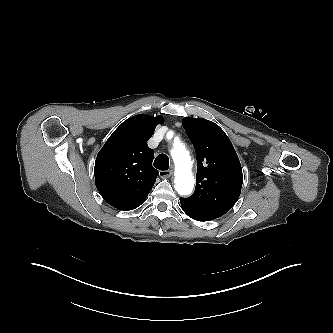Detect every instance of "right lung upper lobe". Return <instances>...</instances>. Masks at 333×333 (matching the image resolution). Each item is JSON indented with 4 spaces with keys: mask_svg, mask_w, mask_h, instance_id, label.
I'll return each mask as SVG.
<instances>
[{
    "mask_svg": "<svg viewBox=\"0 0 333 333\" xmlns=\"http://www.w3.org/2000/svg\"><path fill=\"white\" fill-rule=\"evenodd\" d=\"M162 116L140 114L124 121L109 137L95 161L96 187L103 199L120 210L140 206L159 172L147 145Z\"/></svg>",
    "mask_w": 333,
    "mask_h": 333,
    "instance_id": "obj_1",
    "label": "right lung upper lobe"
}]
</instances>
